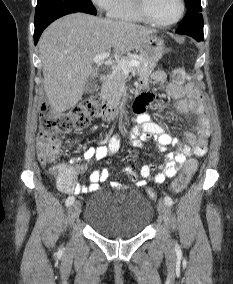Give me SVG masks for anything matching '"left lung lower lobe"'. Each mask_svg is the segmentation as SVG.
Listing matches in <instances>:
<instances>
[{
	"instance_id": "obj_1",
	"label": "left lung lower lobe",
	"mask_w": 233,
	"mask_h": 284,
	"mask_svg": "<svg viewBox=\"0 0 233 284\" xmlns=\"http://www.w3.org/2000/svg\"><path fill=\"white\" fill-rule=\"evenodd\" d=\"M179 34H185L193 37L197 41L204 39L203 37V25L201 26H181L177 31Z\"/></svg>"
}]
</instances>
